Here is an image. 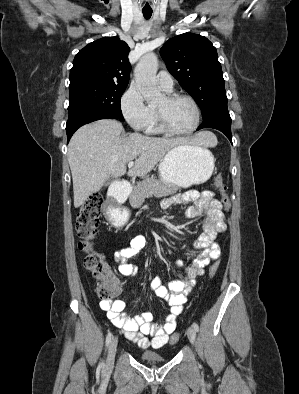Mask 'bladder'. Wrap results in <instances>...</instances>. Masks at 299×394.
Listing matches in <instances>:
<instances>
[{
    "instance_id": "31cf9c89",
    "label": "bladder",
    "mask_w": 299,
    "mask_h": 394,
    "mask_svg": "<svg viewBox=\"0 0 299 394\" xmlns=\"http://www.w3.org/2000/svg\"><path fill=\"white\" fill-rule=\"evenodd\" d=\"M140 360L149 365L162 364L166 361L165 357L154 352H144L140 355Z\"/></svg>"
}]
</instances>
